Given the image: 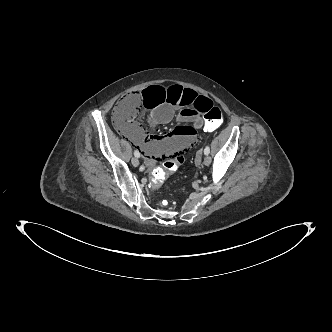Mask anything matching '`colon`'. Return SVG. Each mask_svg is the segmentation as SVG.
Instances as JSON below:
<instances>
[{"label":"colon","mask_w":332,"mask_h":332,"mask_svg":"<svg viewBox=\"0 0 332 332\" xmlns=\"http://www.w3.org/2000/svg\"><path fill=\"white\" fill-rule=\"evenodd\" d=\"M141 95L142 94L136 93L130 94L119 101L114 110V121L117 125L128 126L132 124L133 118L143 107ZM203 114L205 121L202 127L205 132H212L222 124L223 114L218 107L211 105ZM185 165L186 159L183 155L175 160L165 158L161 166L151 171V177L149 179L150 186L154 189L161 188L170 173L183 169Z\"/></svg>","instance_id":"1"}]
</instances>
